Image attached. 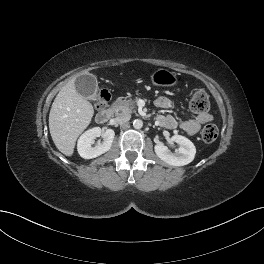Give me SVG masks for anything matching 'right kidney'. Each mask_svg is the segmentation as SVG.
Listing matches in <instances>:
<instances>
[{
    "instance_id": "obj_1",
    "label": "right kidney",
    "mask_w": 264,
    "mask_h": 264,
    "mask_svg": "<svg viewBox=\"0 0 264 264\" xmlns=\"http://www.w3.org/2000/svg\"><path fill=\"white\" fill-rule=\"evenodd\" d=\"M103 136L104 141L93 146L96 137ZM115 132L106 129L102 132L101 128L95 127L84 132L78 139L77 149L79 155L84 159L96 158L109 151L114 140Z\"/></svg>"
}]
</instances>
